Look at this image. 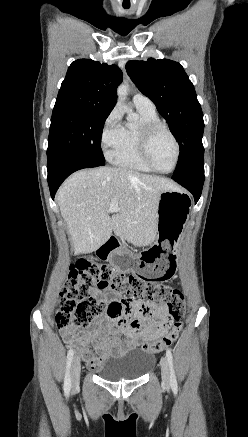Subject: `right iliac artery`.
<instances>
[{
  "label": "right iliac artery",
  "instance_id": "1",
  "mask_svg": "<svg viewBox=\"0 0 248 437\" xmlns=\"http://www.w3.org/2000/svg\"><path fill=\"white\" fill-rule=\"evenodd\" d=\"M73 350L70 349L67 354V367H66V373L64 378V392L65 394H69L71 390V377H70V366L73 359Z\"/></svg>",
  "mask_w": 248,
  "mask_h": 437
}]
</instances>
